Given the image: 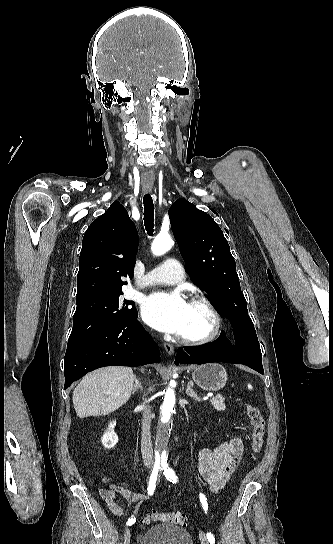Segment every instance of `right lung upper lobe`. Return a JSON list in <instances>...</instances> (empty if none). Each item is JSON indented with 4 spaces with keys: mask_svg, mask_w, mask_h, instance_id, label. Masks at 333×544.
<instances>
[{
    "mask_svg": "<svg viewBox=\"0 0 333 544\" xmlns=\"http://www.w3.org/2000/svg\"><path fill=\"white\" fill-rule=\"evenodd\" d=\"M138 233L126 209L115 201L93 221L83 237L77 274V296L121 290L132 278Z\"/></svg>",
    "mask_w": 333,
    "mask_h": 544,
    "instance_id": "cb5924a9",
    "label": "right lung upper lobe"
}]
</instances>
